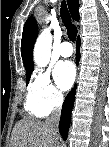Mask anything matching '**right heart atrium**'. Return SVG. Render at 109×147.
<instances>
[{
  "mask_svg": "<svg viewBox=\"0 0 109 147\" xmlns=\"http://www.w3.org/2000/svg\"><path fill=\"white\" fill-rule=\"evenodd\" d=\"M62 92L51 81L47 70H39L29 84L27 100L39 107L43 115L59 108L63 102Z\"/></svg>",
  "mask_w": 109,
  "mask_h": 147,
  "instance_id": "right-heart-atrium-1",
  "label": "right heart atrium"
}]
</instances>
